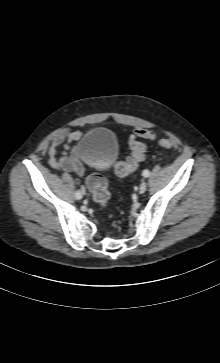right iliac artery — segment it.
<instances>
[{"label":"right iliac artery","instance_id":"82829eb1","mask_svg":"<svg viewBox=\"0 0 220 363\" xmlns=\"http://www.w3.org/2000/svg\"><path fill=\"white\" fill-rule=\"evenodd\" d=\"M75 198L77 199V200H79V199H81L82 198V195H81V191H77L76 193H75Z\"/></svg>","mask_w":220,"mask_h":363}]
</instances>
